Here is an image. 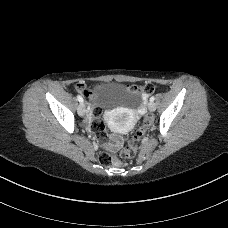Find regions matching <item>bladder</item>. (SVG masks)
<instances>
[{
	"instance_id": "1",
	"label": "bladder",
	"mask_w": 228,
	"mask_h": 228,
	"mask_svg": "<svg viewBox=\"0 0 228 228\" xmlns=\"http://www.w3.org/2000/svg\"><path fill=\"white\" fill-rule=\"evenodd\" d=\"M91 101L99 108H136L141 103V94L136 88L112 82L96 86L92 91Z\"/></svg>"
}]
</instances>
